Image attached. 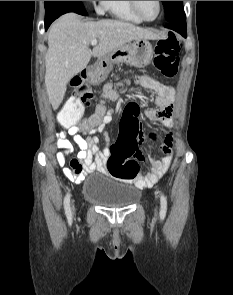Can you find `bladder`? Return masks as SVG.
I'll use <instances>...</instances> for the list:
<instances>
[{
    "instance_id": "1",
    "label": "bladder",
    "mask_w": 233,
    "mask_h": 295,
    "mask_svg": "<svg viewBox=\"0 0 233 295\" xmlns=\"http://www.w3.org/2000/svg\"><path fill=\"white\" fill-rule=\"evenodd\" d=\"M85 199L109 208H125L134 205L141 191L133 184L104 175H92L83 184Z\"/></svg>"
}]
</instances>
